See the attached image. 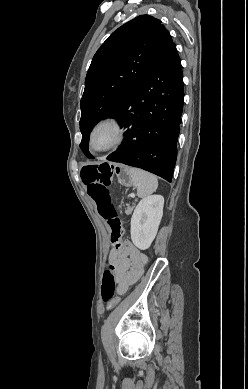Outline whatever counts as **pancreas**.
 <instances>
[{"mask_svg":"<svg viewBox=\"0 0 248 389\" xmlns=\"http://www.w3.org/2000/svg\"><path fill=\"white\" fill-rule=\"evenodd\" d=\"M133 210V207L129 206L127 209H126V214H130Z\"/></svg>","mask_w":248,"mask_h":389,"instance_id":"1","label":"pancreas"}]
</instances>
